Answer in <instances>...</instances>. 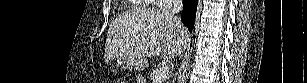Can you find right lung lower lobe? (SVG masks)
<instances>
[{
	"label": "right lung lower lobe",
	"mask_w": 307,
	"mask_h": 83,
	"mask_svg": "<svg viewBox=\"0 0 307 83\" xmlns=\"http://www.w3.org/2000/svg\"><path fill=\"white\" fill-rule=\"evenodd\" d=\"M197 4L198 0H184L181 20L188 27L189 31L193 28Z\"/></svg>",
	"instance_id": "right-lung-lower-lobe-1"
}]
</instances>
